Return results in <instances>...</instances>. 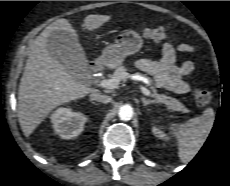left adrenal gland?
Returning a JSON list of instances; mask_svg holds the SVG:
<instances>
[{
    "label": "left adrenal gland",
    "instance_id": "obj_1",
    "mask_svg": "<svg viewBox=\"0 0 230 186\" xmlns=\"http://www.w3.org/2000/svg\"><path fill=\"white\" fill-rule=\"evenodd\" d=\"M143 106H147L153 103H157L155 100H150V99H146L144 97L141 98Z\"/></svg>",
    "mask_w": 230,
    "mask_h": 186
}]
</instances>
